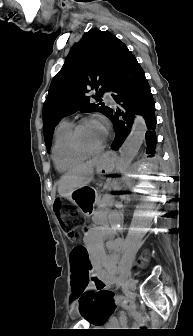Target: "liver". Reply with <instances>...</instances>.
I'll list each match as a JSON object with an SVG mask.
<instances>
[{
    "label": "liver",
    "instance_id": "6515ba94",
    "mask_svg": "<svg viewBox=\"0 0 193 336\" xmlns=\"http://www.w3.org/2000/svg\"><path fill=\"white\" fill-rule=\"evenodd\" d=\"M102 157H95L63 175L58 182L59 195L69 198L73 191L87 186L92 181L94 168L102 161Z\"/></svg>",
    "mask_w": 193,
    "mask_h": 336
}]
</instances>
